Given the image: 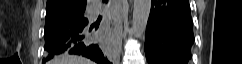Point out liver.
<instances>
[{
	"label": "liver",
	"instance_id": "liver-1",
	"mask_svg": "<svg viewBox=\"0 0 242 64\" xmlns=\"http://www.w3.org/2000/svg\"><path fill=\"white\" fill-rule=\"evenodd\" d=\"M51 64H94L91 60L75 56V55H62L52 61Z\"/></svg>",
	"mask_w": 242,
	"mask_h": 64
}]
</instances>
